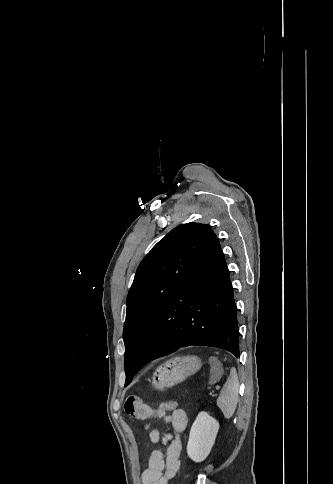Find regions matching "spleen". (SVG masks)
<instances>
[{
	"label": "spleen",
	"mask_w": 333,
	"mask_h": 484,
	"mask_svg": "<svg viewBox=\"0 0 333 484\" xmlns=\"http://www.w3.org/2000/svg\"><path fill=\"white\" fill-rule=\"evenodd\" d=\"M239 382L236 369L232 368L230 375L217 399V406L224 417L229 419L233 416L238 401Z\"/></svg>",
	"instance_id": "spleen-1"
}]
</instances>
